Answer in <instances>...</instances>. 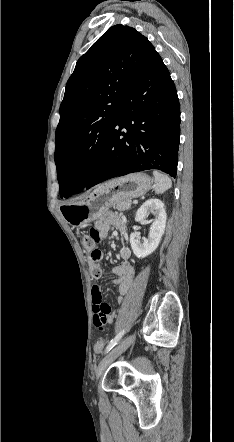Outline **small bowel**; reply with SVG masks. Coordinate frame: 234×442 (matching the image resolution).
<instances>
[{
    "label": "small bowel",
    "mask_w": 234,
    "mask_h": 442,
    "mask_svg": "<svg viewBox=\"0 0 234 442\" xmlns=\"http://www.w3.org/2000/svg\"><path fill=\"white\" fill-rule=\"evenodd\" d=\"M111 227L118 229L121 234L126 233V223L124 219L113 212H107L102 214L95 224V229L98 231L99 239L105 238ZM119 256L121 258V263L112 268V273L117 276V279L113 281L118 286V291L120 296L118 297V302L123 301V296L128 292L134 277V269L129 263V258L131 256L130 249L126 245H122L119 249ZM91 258V257H90ZM103 257L100 254L98 259V264L102 262ZM93 259L91 258V264ZM102 286H94L101 290ZM116 317V313L110 309L107 314H93L92 321L94 328H101V331H105L108 323H112ZM104 346V345H103ZM95 347V346H94ZM95 351V350H94Z\"/></svg>",
    "instance_id": "c3829d8e"
}]
</instances>
